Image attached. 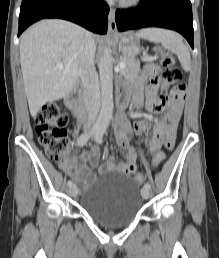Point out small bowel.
Segmentation results:
<instances>
[{
    "label": "small bowel",
    "mask_w": 219,
    "mask_h": 258,
    "mask_svg": "<svg viewBox=\"0 0 219 258\" xmlns=\"http://www.w3.org/2000/svg\"><path fill=\"white\" fill-rule=\"evenodd\" d=\"M159 72V66L155 63H148L145 66L142 77L136 84L133 102V113L138 114L142 106L141 94L142 91L145 90L148 97L147 108L149 111L160 113L167 110L164 119L155 125L152 139L144 142L150 153L158 150L162 144H164L166 148L168 146L171 148L174 147L176 128L184 104V93H182L180 97L172 95L168 101L157 96L156 79ZM121 96L126 97V94L122 93ZM113 126L118 139L119 149L125 151L124 162L115 163L114 160L110 158L101 165L100 172L118 170L124 174H133L137 170V153L134 149L129 148V136L133 132L141 133L145 131L149 126V121L147 119L142 120L132 127L125 116L119 114ZM97 163V153L90 151L82 152L80 156L74 160L72 177L83 189L87 188L92 180L88 164L94 166Z\"/></svg>",
    "instance_id": "obj_1"
}]
</instances>
